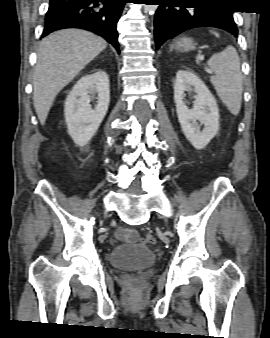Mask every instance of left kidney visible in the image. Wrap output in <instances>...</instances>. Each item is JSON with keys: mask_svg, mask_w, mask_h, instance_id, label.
<instances>
[{"mask_svg": "<svg viewBox=\"0 0 270 338\" xmlns=\"http://www.w3.org/2000/svg\"><path fill=\"white\" fill-rule=\"evenodd\" d=\"M197 93L192 109L184 101V92ZM174 101L179 123L185 137L196 149H203L217 134L219 129V110L215 98L204 82L191 70H179L174 84ZM199 121L204 125L200 130Z\"/></svg>", "mask_w": 270, "mask_h": 338, "instance_id": "obj_1", "label": "left kidney"}]
</instances>
